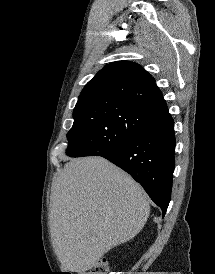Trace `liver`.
<instances>
[{"label": "liver", "mask_w": 215, "mask_h": 274, "mask_svg": "<svg viewBox=\"0 0 215 274\" xmlns=\"http://www.w3.org/2000/svg\"><path fill=\"white\" fill-rule=\"evenodd\" d=\"M150 213L143 188L102 157L72 159L52 187L50 229L64 270L79 274L135 237Z\"/></svg>", "instance_id": "liver-1"}]
</instances>
